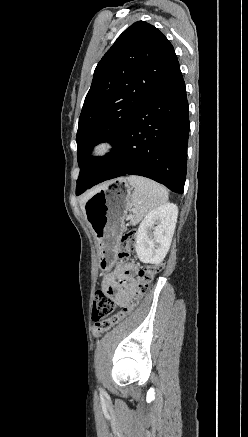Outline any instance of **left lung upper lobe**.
Instances as JSON below:
<instances>
[{
    "mask_svg": "<svg viewBox=\"0 0 248 437\" xmlns=\"http://www.w3.org/2000/svg\"><path fill=\"white\" fill-rule=\"evenodd\" d=\"M176 61L169 40L144 21L127 28L102 57L79 117L76 195L86 191L105 168L132 115ZM105 141L113 151L100 160L91 159L93 147Z\"/></svg>",
    "mask_w": 248,
    "mask_h": 437,
    "instance_id": "1",
    "label": "left lung upper lobe"
}]
</instances>
